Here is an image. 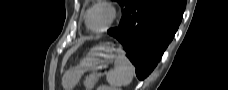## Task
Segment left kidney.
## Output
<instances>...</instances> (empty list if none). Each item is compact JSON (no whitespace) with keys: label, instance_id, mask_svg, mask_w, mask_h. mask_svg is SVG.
I'll list each match as a JSON object with an SVG mask.
<instances>
[{"label":"left kidney","instance_id":"obj_1","mask_svg":"<svg viewBox=\"0 0 228 90\" xmlns=\"http://www.w3.org/2000/svg\"><path fill=\"white\" fill-rule=\"evenodd\" d=\"M97 90H121V89L103 85L97 88Z\"/></svg>","mask_w":228,"mask_h":90}]
</instances>
